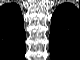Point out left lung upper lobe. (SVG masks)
Wrapping results in <instances>:
<instances>
[{"instance_id":"obj_1","label":"left lung upper lobe","mask_w":80,"mask_h":60,"mask_svg":"<svg viewBox=\"0 0 80 60\" xmlns=\"http://www.w3.org/2000/svg\"><path fill=\"white\" fill-rule=\"evenodd\" d=\"M77 8L72 4H62L54 12L51 22L50 50L59 59L65 57L68 48L80 42L79 34L73 31L74 14Z\"/></svg>"}]
</instances>
